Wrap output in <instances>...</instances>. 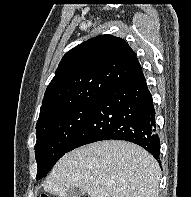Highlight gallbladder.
Wrapping results in <instances>:
<instances>
[{
	"mask_svg": "<svg viewBox=\"0 0 191 197\" xmlns=\"http://www.w3.org/2000/svg\"><path fill=\"white\" fill-rule=\"evenodd\" d=\"M84 192H82L78 188H71L67 191L66 195L64 197H83Z\"/></svg>",
	"mask_w": 191,
	"mask_h": 197,
	"instance_id": "obj_1",
	"label": "gallbladder"
}]
</instances>
